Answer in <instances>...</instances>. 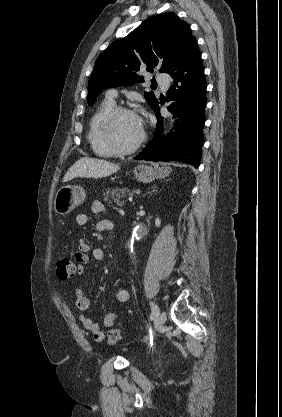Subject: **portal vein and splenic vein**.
Wrapping results in <instances>:
<instances>
[{"label":"portal vein and splenic vein","mask_w":282,"mask_h":417,"mask_svg":"<svg viewBox=\"0 0 282 417\" xmlns=\"http://www.w3.org/2000/svg\"><path fill=\"white\" fill-rule=\"evenodd\" d=\"M132 200H133L132 196H129V198H127V199H126V202H127V203H131V202H132Z\"/></svg>","instance_id":"18ae733b"}]
</instances>
